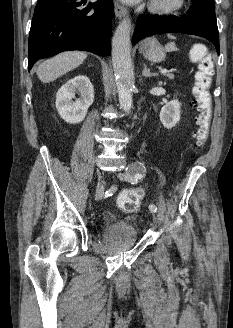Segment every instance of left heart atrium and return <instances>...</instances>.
<instances>
[{"instance_id":"39dd6f15","label":"left heart atrium","mask_w":233,"mask_h":328,"mask_svg":"<svg viewBox=\"0 0 233 328\" xmlns=\"http://www.w3.org/2000/svg\"><path fill=\"white\" fill-rule=\"evenodd\" d=\"M122 1H124V2H126V3H136V2H138L139 0H122Z\"/></svg>"}]
</instances>
